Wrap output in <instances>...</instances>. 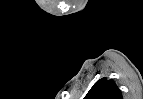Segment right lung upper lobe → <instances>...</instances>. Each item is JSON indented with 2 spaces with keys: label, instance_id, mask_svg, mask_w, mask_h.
Returning <instances> with one entry per match:
<instances>
[{
  "label": "right lung upper lobe",
  "instance_id": "obj_1",
  "mask_svg": "<svg viewBox=\"0 0 143 99\" xmlns=\"http://www.w3.org/2000/svg\"><path fill=\"white\" fill-rule=\"evenodd\" d=\"M84 99H123L122 92L112 79L101 78L89 90Z\"/></svg>",
  "mask_w": 143,
  "mask_h": 99
}]
</instances>
